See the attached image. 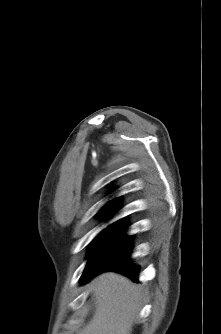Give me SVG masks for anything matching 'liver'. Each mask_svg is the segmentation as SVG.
Wrapping results in <instances>:
<instances>
[{
    "label": "liver",
    "mask_w": 221,
    "mask_h": 334,
    "mask_svg": "<svg viewBox=\"0 0 221 334\" xmlns=\"http://www.w3.org/2000/svg\"><path fill=\"white\" fill-rule=\"evenodd\" d=\"M96 309L79 334H131L140 309L141 289L127 277L102 273L92 281Z\"/></svg>",
    "instance_id": "obj_1"
}]
</instances>
